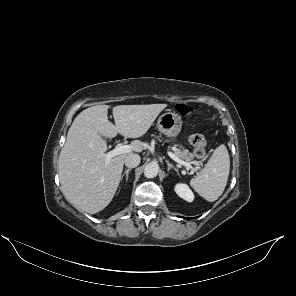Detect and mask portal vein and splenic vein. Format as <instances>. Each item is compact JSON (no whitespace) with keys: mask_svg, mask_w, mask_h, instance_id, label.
Listing matches in <instances>:
<instances>
[{"mask_svg":"<svg viewBox=\"0 0 296 296\" xmlns=\"http://www.w3.org/2000/svg\"><path fill=\"white\" fill-rule=\"evenodd\" d=\"M132 151V147L130 145H121L118 144L115 149L107 152V153H102L101 156L106 158V162H110L112 158H114L115 156H118L120 154H126V153H130ZM169 157L171 159H173L175 162L179 163L180 165H183L186 167L187 170L191 169V165L188 162H185L183 160H181L180 158H178L175 154L169 152L168 153ZM193 171H196V169H192Z\"/></svg>","mask_w":296,"mask_h":296,"instance_id":"portal-vein-and-splenic-vein-1","label":"portal vein and splenic vein"}]
</instances>
